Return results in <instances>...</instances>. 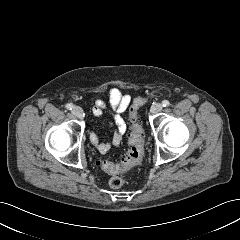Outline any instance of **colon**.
<instances>
[{"mask_svg": "<svg viewBox=\"0 0 240 240\" xmlns=\"http://www.w3.org/2000/svg\"><path fill=\"white\" fill-rule=\"evenodd\" d=\"M146 101L147 99L145 97H138L130 106L129 121L131 129L128 139V148L121 157L120 164H116L105 159L100 161L101 168L111 176L109 185L114 189H118L123 186L124 171L129 170L133 166L139 164L143 158L144 135L142 128L137 123V111L146 103Z\"/></svg>", "mask_w": 240, "mask_h": 240, "instance_id": "5ec220e1", "label": "colon"}]
</instances>
